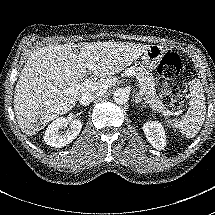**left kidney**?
Returning <instances> with one entry per match:
<instances>
[{"label": "left kidney", "mask_w": 215, "mask_h": 215, "mask_svg": "<svg viewBox=\"0 0 215 215\" xmlns=\"http://www.w3.org/2000/svg\"><path fill=\"white\" fill-rule=\"evenodd\" d=\"M143 131L148 142L156 150L165 148V135L158 122H147L143 126Z\"/></svg>", "instance_id": "obj_1"}]
</instances>
